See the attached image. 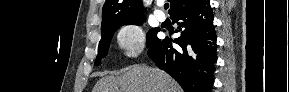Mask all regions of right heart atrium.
<instances>
[{"mask_svg":"<svg viewBox=\"0 0 289 92\" xmlns=\"http://www.w3.org/2000/svg\"><path fill=\"white\" fill-rule=\"evenodd\" d=\"M116 41L126 59H135L144 51L145 31L137 23L125 24L117 30Z\"/></svg>","mask_w":289,"mask_h":92,"instance_id":"right-heart-atrium-1","label":"right heart atrium"}]
</instances>
